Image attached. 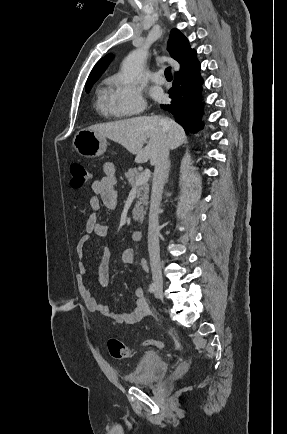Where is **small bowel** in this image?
<instances>
[{
	"label": "small bowel",
	"instance_id": "c3829d8e",
	"mask_svg": "<svg viewBox=\"0 0 287 434\" xmlns=\"http://www.w3.org/2000/svg\"><path fill=\"white\" fill-rule=\"evenodd\" d=\"M104 175L102 178L93 181L91 188L93 195L89 199V206L92 210V215L87 219L85 232L81 235L76 245V251L80 258H83L86 244L92 235H96L107 240L110 235V229L107 225L98 222L97 214L102 208L114 209L117 206L116 192V171L112 163H105L103 166ZM134 251L126 248L121 253V261L125 265L134 263ZM110 250L107 242L104 244L103 253L98 266V274L96 281L100 286H106L110 277ZM87 266L83 260L77 264L76 282L78 291L84 299L89 311L99 313L109 318L113 325H133L143 320L148 315V309L144 297V292L141 287L135 289V306L128 313H118L113 311L107 305L101 303L99 299L92 293L86 284Z\"/></svg>",
	"mask_w": 287,
	"mask_h": 434
}]
</instances>
